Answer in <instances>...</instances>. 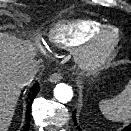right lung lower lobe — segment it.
<instances>
[{
    "label": "right lung lower lobe",
    "mask_w": 131,
    "mask_h": 131,
    "mask_svg": "<svg viewBox=\"0 0 131 131\" xmlns=\"http://www.w3.org/2000/svg\"><path fill=\"white\" fill-rule=\"evenodd\" d=\"M39 92V84L35 83L32 87V95H31V99L29 101V104L27 105V114H26V118H27V122H26V126L23 129V131H28L29 130V126H30V108H31V103L34 100L35 96L37 95V93Z\"/></svg>",
    "instance_id": "1"
}]
</instances>
